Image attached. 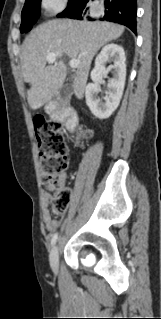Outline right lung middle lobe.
I'll return each mask as SVG.
<instances>
[{"instance_id": "1", "label": "right lung middle lobe", "mask_w": 161, "mask_h": 319, "mask_svg": "<svg viewBox=\"0 0 161 319\" xmlns=\"http://www.w3.org/2000/svg\"><path fill=\"white\" fill-rule=\"evenodd\" d=\"M78 1L80 0H69L67 8L59 15L68 12L71 7L74 6ZM40 3L41 0H26L21 15V33L28 32L32 28L33 24H35V22L37 21L40 15Z\"/></svg>"}]
</instances>
